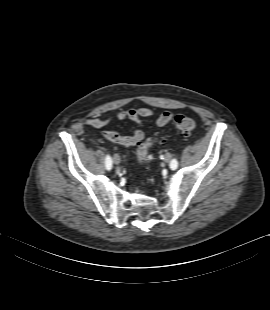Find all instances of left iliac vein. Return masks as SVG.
<instances>
[{
	"mask_svg": "<svg viewBox=\"0 0 270 310\" xmlns=\"http://www.w3.org/2000/svg\"><path fill=\"white\" fill-rule=\"evenodd\" d=\"M171 158H172L171 154L170 153H166L165 156H164V161L166 163H169L171 161Z\"/></svg>",
	"mask_w": 270,
	"mask_h": 310,
	"instance_id": "4c4485c4",
	"label": "left iliac vein"
}]
</instances>
